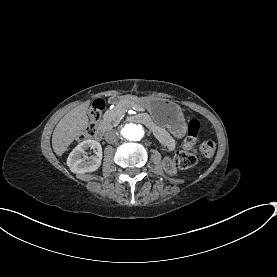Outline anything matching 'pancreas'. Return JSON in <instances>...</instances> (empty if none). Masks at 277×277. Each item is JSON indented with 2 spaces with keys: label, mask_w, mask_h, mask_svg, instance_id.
<instances>
[{
  "label": "pancreas",
  "mask_w": 277,
  "mask_h": 277,
  "mask_svg": "<svg viewBox=\"0 0 277 277\" xmlns=\"http://www.w3.org/2000/svg\"><path fill=\"white\" fill-rule=\"evenodd\" d=\"M131 107L126 102H118L113 109H109L104 114V119L109 124H114L120 117H126L130 114Z\"/></svg>",
  "instance_id": "cf45deb5"
}]
</instances>
